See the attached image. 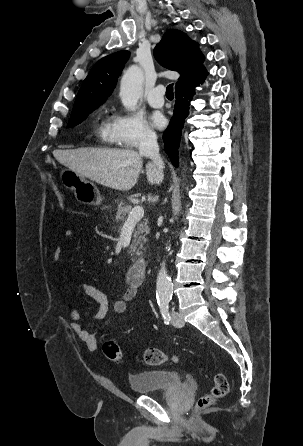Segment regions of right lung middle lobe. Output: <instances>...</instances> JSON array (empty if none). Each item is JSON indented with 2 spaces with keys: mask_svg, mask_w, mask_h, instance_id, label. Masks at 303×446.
<instances>
[{
  "mask_svg": "<svg viewBox=\"0 0 303 446\" xmlns=\"http://www.w3.org/2000/svg\"><path fill=\"white\" fill-rule=\"evenodd\" d=\"M98 107L99 106L89 107L87 109H83V110L72 113L67 127H73V126L81 123L89 113H91L93 110L97 109Z\"/></svg>",
  "mask_w": 303,
  "mask_h": 446,
  "instance_id": "1",
  "label": "right lung middle lobe"
}]
</instances>
